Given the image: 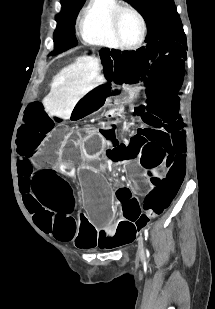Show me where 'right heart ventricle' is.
I'll return each instance as SVG.
<instances>
[{
    "label": "right heart ventricle",
    "instance_id": "e07e8e85",
    "mask_svg": "<svg viewBox=\"0 0 215 309\" xmlns=\"http://www.w3.org/2000/svg\"><path fill=\"white\" fill-rule=\"evenodd\" d=\"M84 40L91 45L116 48L113 44L115 32L113 19L108 9H95L94 14H88V19L81 20Z\"/></svg>",
    "mask_w": 215,
    "mask_h": 309
}]
</instances>
